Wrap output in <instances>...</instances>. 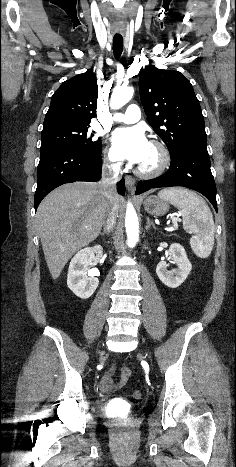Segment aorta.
<instances>
[{"mask_svg": "<svg viewBox=\"0 0 236 467\" xmlns=\"http://www.w3.org/2000/svg\"><path fill=\"white\" fill-rule=\"evenodd\" d=\"M133 87H120L114 89L110 105L113 109H119L130 101L133 97ZM125 227L127 234V244L133 248L139 240V221L133 205L128 202L125 215Z\"/></svg>", "mask_w": 236, "mask_h": 467, "instance_id": "aorta-1", "label": "aorta"}]
</instances>
